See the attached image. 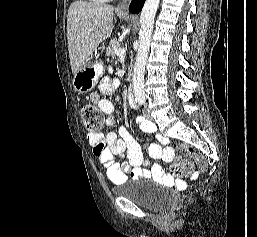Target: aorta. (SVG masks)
Listing matches in <instances>:
<instances>
[{
    "label": "aorta",
    "instance_id": "obj_1",
    "mask_svg": "<svg viewBox=\"0 0 257 237\" xmlns=\"http://www.w3.org/2000/svg\"><path fill=\"white\" fill-rule=\"evenodd\" d=\"M159 2L160 0H146L140 15L139 46L133 70V92L137 100L145 99V65Z\"/></svg>",
    "mask_w": 257,
    "mask_h": 237
}]
</instances>
